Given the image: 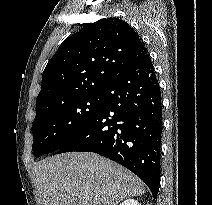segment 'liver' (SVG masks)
<instances>
[{"instance_id":"1","label":"liver","mask_w":212,"mask_h":205,"mask_svg":"<svg viewBox=\"0 0 212 205\" xmlns=\"http://www.w3.org/2000/svg\"><path fill=\"white\" fill-rule=\"evenodd\" d=\"M33 174L40 205H117L145 193L132 172L90 152L46 158Z\"/></svg>"}]
</instances>
